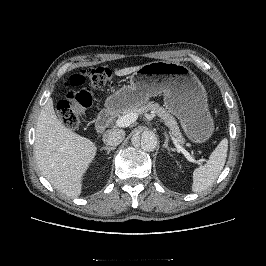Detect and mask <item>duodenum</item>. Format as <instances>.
I'll return each mask as SVG.
<instances>
[{"label": "duodenum", "mask_w": 266, "mask_h": 266, "mask_svg": "<svg viewBox=\"0 0 266 266\" xmlns=\"http://www.w3.org/2000/svg\"><path fill=\"white\" fill-rule=\"evenodd\" d=\"M114 115H115V110L114 108L111 107H106L105 109L100 111V113L97 116L95 124L97 132L99 133L104 132L111 123Z\"/></svg>", "instance_id": "obj_1"}]
</instances>
